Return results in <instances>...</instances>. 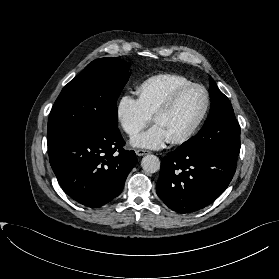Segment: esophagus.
<instances>
[{
    "mask_svg": "<svg viewBox=\"0 0 279 279\" xmlns=\"http://www.w3.org/2000/svg\"><path fill=\"white\" fill-rule=\"evenodd\" d=\"M136 155L138 156H144L150 153V151L148 150H144V149H138L135 151Z\"/></svg>",
    "mask_w": 279,
    "mask_h": 279,
    "instance_id": "34e87169",
    "label": "esophagus"
}]
</instances>
